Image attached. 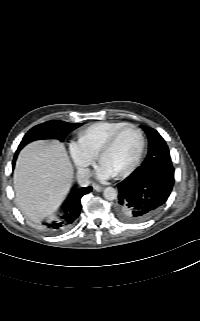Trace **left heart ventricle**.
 Wrapping results in <instances>:
<instances>
[{"mask_svg":"<svg viewBox=\"0 0 200 321\" xmlns=\"http://www.w3.org/2000/svg\"><path fill=\"white\" fill-rule=\"evenodd\" d=\"M139 146V134L134 129H128L119 137L115 145L103 155L101 163L114 175L120 174L133 162Z\"/></svg>","mask_w":200,"mask_h":321,"instance_id":"left-heart-ventricle-1","label":"left heart ventricle"}]
</instances>
